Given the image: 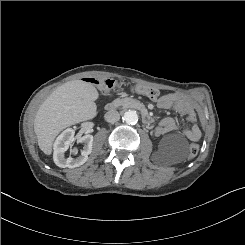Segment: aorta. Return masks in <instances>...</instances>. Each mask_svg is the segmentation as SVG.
Here are the masks:
<instances>
[{
	"instance_id": "obj_1",
	"label": "aorta",
	"mask_w": 245,
	"mask_h": 245,
	"mask_svg": "<svg viewBox=\"0 0 245 245\" xmlns=\"http://www.w3.org/2000/svg\"><path fill=\"white\" fill-rule=\"evenodd\" d=\"M123 120L127 124H136L138 121L137 112L134 110H129V111L125 112L123 115Z\"/></svg>"
}]
</instances>
